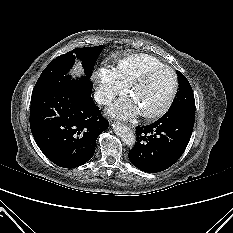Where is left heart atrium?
<instances>
[{"mask_svg":"<svg viewBox=\"0 0 233 233\" xmlns=\"http://www.w3.org/2000/svg\"><path fill=\"white\" fill-rule=\"evenodd\" d=\"M139 112V107L131 96L120 99L110 108V113L120 118H133Z\"/></svg>","mask_w":233,"mask_h":233,"instance_id":"1","label":"left heart atrium"}]
</instances>
